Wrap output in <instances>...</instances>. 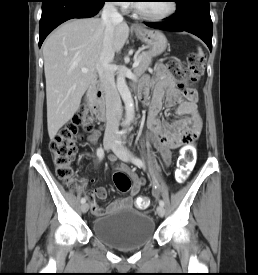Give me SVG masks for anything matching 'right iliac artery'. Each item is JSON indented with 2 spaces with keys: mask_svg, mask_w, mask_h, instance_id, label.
<instances>
[{
  "mask_svg": "<svg viewBox=\"0 0 258 275\" xmlns=\"http://www.w3.org/2000/svg\"><path fill=\"white\" fill-rule=\"evenodd\" d=\"M97 156H98L99 160L103 159V157H104V150L102 149V147H100V148L97 149ZM85 202H86V199L82 198L81 199V203L83 204Z\"/></svg>",
  "mask_w": 258,
  "mask_h": 275,
  "instance_id": "obj_1",
  "label": "right iliac artery"
}]
</instances>
